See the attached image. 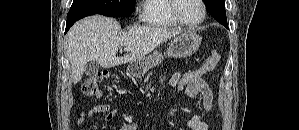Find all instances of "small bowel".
<instances>
[{
  "mask_svg": "<svg viewBox=\"0 0 299 130\" xmlns=\"http://www.w3.org/2000/svg\"><path fill=\"white\" fill-rule=\"evenodd\" d=\"M181 72H177L171 79V84L174 86L178 81ZM185 96L188 99H194L197 95L201 96L202 105L205 110L210 111L213 106V92L207 81L204 79L188 86L184 90ZM117 110L111 109L107 104H97L93 106L87 113L86 117L80 119V123L85 122L87 119L92 118L97 114H104V121H111L116 115ZM188 126L192 130H210L208 123L203 121L200 116L193 114L188 119ZM140 128L138 123H125L118 130H137Z\"/></svg>",
  "mask_w": 299,
  "mask_h": 130,
  "instance_id": "1",
  "label": "small bowel"
}]
</instances>
